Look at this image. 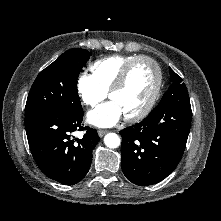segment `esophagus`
Listing matches in <instances>:
<instances>
[{
    "mask_svg": "<svg viewBox=\"0 0 221 221\" xmlns=\"http://www.w3.org/2000/svg\"><path fill=\"white\" fill-rule=\"evenodd\" d=\"M106 133H107L106 130H99V131H98V135H99L100 137H103Z\"/></svg>",
    "mask_w": 221,
    "mask_h": 221,
    "instance_id": "obj_1",
    "label": "esophagus"
}]
</instances>
